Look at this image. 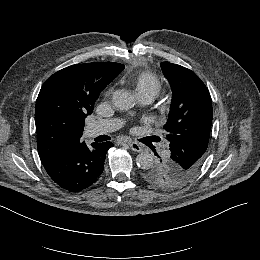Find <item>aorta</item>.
<instances>
[{
	"label": "aorta",
	"mask_w": 260,
	"mask_h": 260,
	"mask_svg": "<svg viewBox=\"0 0 260 260\" xmlns=\"http://www.w3.org/2000/svg\"><path fill=\"white\" fill-rule=\"evenodd\" d=\"M114 106L121 111L129 110L134 106L133 96L125 90H116L112 95ZM153 156L149 152H141L136 157V164L141 169H147L153 165Z\"/></svg>",
	"instance_id": "obj_1"
}]
</instances>
